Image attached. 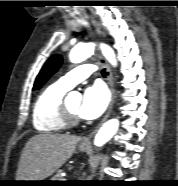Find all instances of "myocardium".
Here are the masks:
<instances>
[{"mask_svg": "<svg viewBox=\"0 0 178 186\" xmlns=\"http://www.w3.org/2000/svg\"><path fill=\"white\" fill-rule=\"evenodd\" d=\"M58 118L65 128H73L80 124L79 116L72 114L64 100L59 107Z\"/></svg>", "mask_w": 178, "mask_h": 186, "instance_id": "obj_1", "label": "myocardium"}]
</instances>
